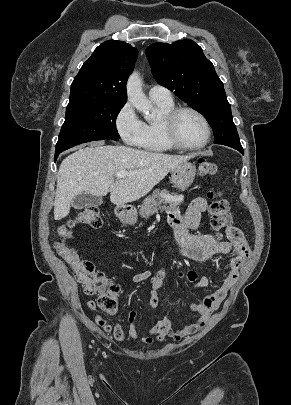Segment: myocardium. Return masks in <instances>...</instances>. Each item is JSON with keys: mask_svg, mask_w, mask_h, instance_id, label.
Instances as JSON below:
<instances>
[{"mask_svg": "<svg viewBox=\"0 0 291 405\" xmlns=\"http://www.w3.org/2000/svg\"><path fill=\"white\" fill-rule=\"evenodd\" d=\"M185 112H190L194 115H196L204 124L205 129H206V139L205 141L197 146H190L185 143H183L179 136H178V131H177V126H178V120L180 116L185 113ZM163 129L165 136L168 140V142L174 146L177 149L181 150H186V151H198L201 149H204L211 141L212 138V128L211 125L207 119V117L198 109L190 106H182V107H176L172 109L169 113H167L164 118H163Z\"/></svg>", "mask_w": 291, "mask_h": 405, "instance_id": "1", "label": "myocardium"}]
</instances>
